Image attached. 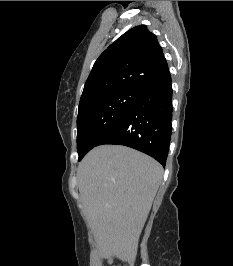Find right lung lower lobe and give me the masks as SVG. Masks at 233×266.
<instances>
[{"instance_id": "right-lung-lower-lobe-1", "label": "right lung lower lobe", "mask_w": 233, "mask_h": 266, "mask_svg": "<svg viewBox=\"0 0 233 266\" xmlns=\"http://www.w3.org/2000/svg\"><path fill=\"white\" fill-rule=\"evenodd\" d=\"M171 119L172 86L168 72L143 91L137 102L96 146L125 145L150 155L165 166L172 133Z\"/></svg>"}]
</instances>
